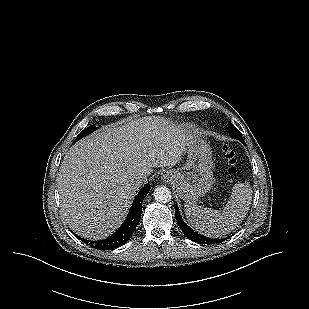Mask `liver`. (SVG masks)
<instances>
[{
  "label": "liver",
  "instance_id": "6515ba94",
  "mask_svg": "<svg viewBox=\"0 0 309 309\" xmlns=\"http://www.w3.org/2000/svg\"><path fill=\"white\" fill-rule=\"evenodd\" d=\"M187 134L163 117L106 126L65 155L57 179L61 212L69 227L88 239H104L125 219L139 190L138 174L175 166Z\"/></svg>",
  "mask_w": 309,
  "mask_h": 309
}]
</instances>
